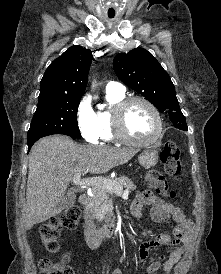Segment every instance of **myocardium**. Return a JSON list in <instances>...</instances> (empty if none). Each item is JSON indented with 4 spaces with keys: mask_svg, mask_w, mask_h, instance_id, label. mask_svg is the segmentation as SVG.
<instances>
[{
    "mask_svg": "<svg viewBox=\"0 0 221 274\" xmlns=\"http://www.w3.org/2000/svg\"><path fill=\"white\" fill-rule=\"evenodd\" d=\"M136 102L143 103L144 105H146L152 112L156 121V130L154 134L146 140H136L130 137L124 129L125 113L129 106ZM112 125L116 139L120 142L133 146H149L154 144L159 139L163 130V120L158 108L150 100L141 96H132L124 98L117 105H115L112 111Z\"/></svg>",
    "mask_w": 221,
    "mask_h": 274,
    "instance_id": "f54148a6",
    "label": "myocardium"
}]
</instances>
